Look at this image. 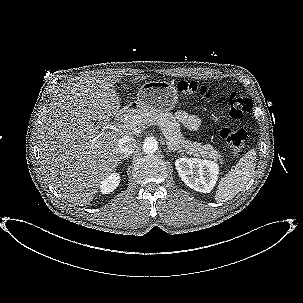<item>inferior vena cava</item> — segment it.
<instances>
[{"label":"inferior vena cava","mask_w":303,"mask_h":303,"mask_svg":"<svg viewBox=\"0 0 303 303\" xmlns=\"http://www.w3.org/2000/svg\"><path fill=\"white\" fill-rule=\"evenodd\" d=\"M136 146V141L132 136L124 135L118 141V150L121 154H132Z\"/></svg>","instance_id":"1"}]
</instances>
